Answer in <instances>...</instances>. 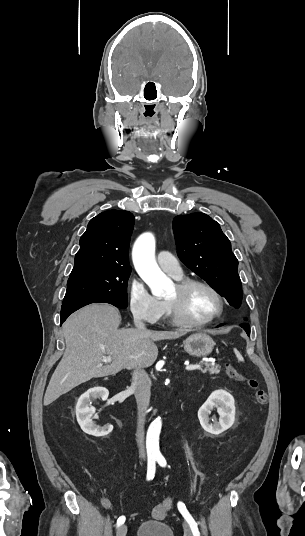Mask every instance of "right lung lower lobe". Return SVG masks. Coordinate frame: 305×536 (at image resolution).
<instances>
[{
    "mask_svg": "<svg viewBox=\"0 0 305 536\" xmlns=\"http://www.w3.org/2000/svg\"><path fill=\"white\" fill-rule=\"evenodd\" d=\"M88 305V303H79V304H70V305H62L61 308V324L66 320V318L73 313L74 311L78 310L79 308Z\"/></svg>",
    "mask_w": 305,
    "mask_h": 536,
    "instance_id": "1",
    "label": "right lung lower lobe"
}]
</instances>
